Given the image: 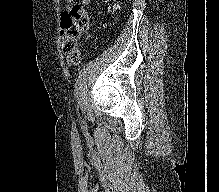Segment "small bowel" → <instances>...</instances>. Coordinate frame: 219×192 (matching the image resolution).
Listing matches in <instances>:
<instances>
[{
	"label": "small bowel",
	"instance_id": "obj_1",
	"mask_svg": "<svg viewBox=\"0 0 219 192\" xmlns=\"http://www.w3.org/2000/svg\"><path fill=\"white\" fill-rule=\"evenodd\" d=\"M81 3L84 5H90L91 4V0H81ZM70 5V0H67V6Z\"/></svg>",
	"mask_w": 219,
	"mask_h": 192
}]
</instances>
